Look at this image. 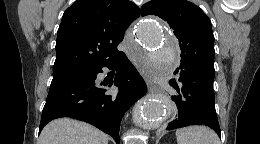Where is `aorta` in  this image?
Instances as JSON below:
<instances>
[{
    "label": "aorta",
    "instance_id": "762f6f07",
    "mask_svg": "<svg viewBox=\"0 0 260 144\" xmlns=\"http://www.w3.org/2000/svg\"><path fill=\"white\" fill-rule=\"evenodd\" d=\"M138 45L130 51L135 59L146 68L161 72L171 70L176 57L177 42L164 32L159 21L155 18H144L136 27ZM173 105L164 96H147L134 107V124L142 129L161 126Z\"/></svg>",
    "mask_w": 260,
    "mask_h": 144
}]
</instances>
